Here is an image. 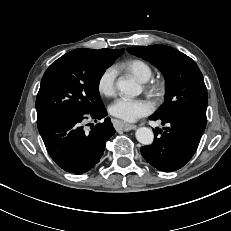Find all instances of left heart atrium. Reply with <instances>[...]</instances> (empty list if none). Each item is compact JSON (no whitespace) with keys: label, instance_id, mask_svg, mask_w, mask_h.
I'll return each mask as SVG.
<instances>
[{"label":"left heart atrium","instance_id":"left-heart-atrium-1","mask_svg":"<svg viewBox=\"0 0 231 231\" xmlns=\"http://www.w3.org/2000/svg\"><path fill=\"white\" fill-rule=\"evenodd\" d=\"M153 108V104L148 100L122 96L110 105L109 112L121 120L134 121L150 114Z\"/></svg>","mask_w":231,"mask_h":231}]
</instances>
